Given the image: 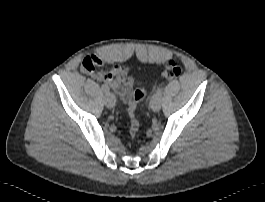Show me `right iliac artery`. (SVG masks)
<instances>
[{
	"mask_svg": "<svg viewBox=\"0 0 265 202\" xmlns=\"http://www.w3.org/2000/svg\"><path fill=\"white\" fill-rule=\"evenodd\" d=\"M101 89L104 93H109V87L106 84H102Z\"/></svg>",
	"mask_w": 265,
	"mask_h": 202,
	"instance_id": "right-iliac-artery-1",
	"label": "right iliac artery"
}]
</instances>
